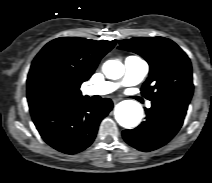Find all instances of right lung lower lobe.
I'll list each match as a JSON object with an SVG mask.
<instances>
[{"label":"right lung lower lobe","instance_id":"98d812e1","mask_svg":"<svg viewBox=\"0 0 212 183\" xmlns=\"http://www.w3.org/2000/svg\"><path fill=\"white\" fill-rule=\"evenodd\" d=\"M112 108L108 98L98 103L57 100L31 111V116L47 144L60 152L75 154L91 145L101 120Z\"/></svg>","mask_w":212,"mask_h":183}]
</instances>
